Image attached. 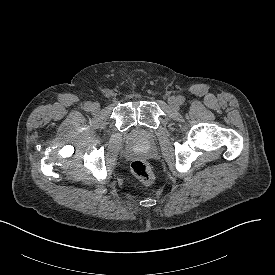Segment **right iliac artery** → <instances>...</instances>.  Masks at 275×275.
Masks as SVG:
<instances>
[{
    "instance_id": "obj_1",
    "label": "right iliac artery",
    "mask_w": 275,
    "mask_h": 275,
    "mask_svg": "<svg viewBox=\"0 0 275 275\" xmlns=\"http://www.w3.org/2000/svg\"><path fill=\"white\" fill-rule=\"evenodd\" d=\"M84 109H85V111H90V110H91V103H90V102H87V103L84 105Z\"/></svg>"
}]
</instances>
